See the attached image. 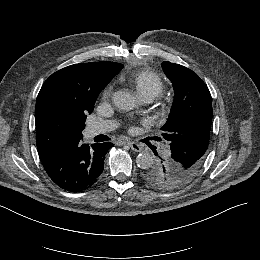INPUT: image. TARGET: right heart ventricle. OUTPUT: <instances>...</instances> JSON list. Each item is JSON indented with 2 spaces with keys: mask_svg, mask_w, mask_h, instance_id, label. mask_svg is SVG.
<instances>
[{
  "mask_svg": "<svg viewBox=\"0 0 260 260\" xmlns=\"http://www.w3.org/2000/svg\"><path fill=\"white\" fill-rule=\"evenodd\" d=\"M128 83L140 99L153 100L165 90L164 79L147 70L133 71L128 77Z\"/></svg>",
  "mask_w": 260,
  "mask_h": 260,
  "instance_id": "e07e8e85",
  "label": "right heart ventricle"
}]
</instances>
